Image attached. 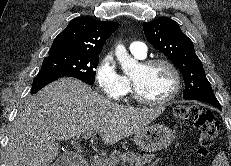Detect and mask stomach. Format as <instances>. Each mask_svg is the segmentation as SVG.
<instances>
[{
  "label": "stomach",
  "instance_id": "obj_1",
  "mask_svg": "<svg viewBox=\"0 0 231 166\" xmlns=\"http://www.w3.org/2000/svg\"><path fill=\"white\" fill-rule=\"evenodd\" d=\"M174 138V132L168 126L152 124L137 131L134 141L140 149L156 152L167 148Z\"/></svg>",
  "mask_w": 231,
  "mask_h": 166
}]
</instances>
